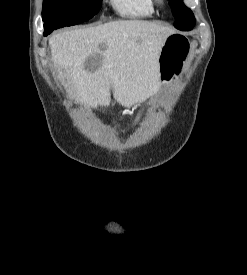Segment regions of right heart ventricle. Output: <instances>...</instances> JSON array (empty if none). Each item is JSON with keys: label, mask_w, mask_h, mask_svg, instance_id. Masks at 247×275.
Wrapping results in <instances>:
<instances>
[{"label": "right heart ventricle", "mask_w": 247, "mask_h": 275, "mask_svg": "<svg viewBox=\"0 0 247 275\" xmlns=\"http://www.w3.org/2000/svg\"><path fill=\"white\" fill-rule=\"evenodd\" d=\"M109 3L128 18L148 17L154 13V0H109Z\"/></svg>", "instance_id": "1"}]
</instances>
